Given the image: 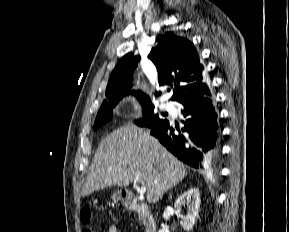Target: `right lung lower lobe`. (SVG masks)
I'll return each mask as SVG.
<instances>
[{
    "mask_svg": "<svg viewBox=\"0 0 289 232\" xmlns=\"http://www.w3.org/2000/svg\"><path fill=\"white\" fill-rule=\"evenodd\" d=\"M183 133H176L165 120L151 129V135L172 152L178 159L194 167L217 165L220 159V126L212 94L190 98L180 102Z\"/></svg>",
    "mask_w": 289,
    "mask_h": 232,
    "instance_id": "right-lung-lower-lobe-1",
    "label": "right lung lower lobe"
}]
</instances>
